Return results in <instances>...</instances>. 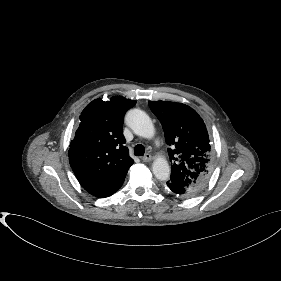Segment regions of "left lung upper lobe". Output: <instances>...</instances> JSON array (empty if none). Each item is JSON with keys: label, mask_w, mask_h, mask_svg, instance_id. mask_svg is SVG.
<instances>
[{"label": "left lung upper lobe", "mask_w": 281, "mask_h": 281, "mask_svg": "<svg viewBox=\"0 0 281 281\" xmlns=\"http://www.w3.org/2000/svg\"><path fill=\"white\" fill-rule=\"evenodd\" d=\"M151 111L162 124L169 158L172 183L197 194L208 181L213 156L206 126L191 107L182 103L150 101Z\"/></svg>", "instance_id": "5c2ea615"}]
</instances>
